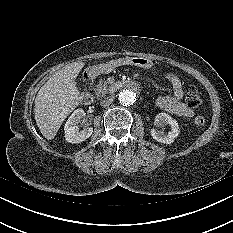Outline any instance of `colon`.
<instances>
[{"label":"colon","instance_id":"obj_1","mask_svg":"<svg viewBox=\"0 0 233 233\" xmlns=\"http://www.w3.org/2000/svg\"><path fill=\"white\" fill-rule=\"evenodd\" d=\"M185 100L192 108H197L201 104V97L197 88L189 85L185 89ZM205 117L201 113H197L193 118V124L196 127H202L205 124Z\"/></svg>","mask_w":233,"mask_h":233}]
</instances>
